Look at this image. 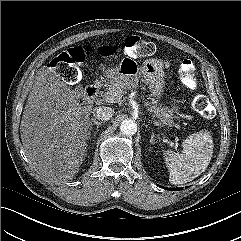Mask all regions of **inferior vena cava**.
Returning <instances> with one entry per match:
<instances>
[{"mask_svg": "<svg viewBox=\"0 0 241 241\" xmlns=\"http://www.w3.org/2000/svg\"><path fill=\"white\" fill-rule=\"evenodd\" d=\"M114 109L106 106H99L93 109V116L101 121H108L114 115Z\"/></svg>", "mask_w": 241, "mask_h": 241, "instance_id": "602c4592", "label": "inferior vena cava"}]
</instances>
